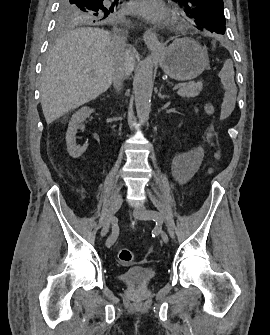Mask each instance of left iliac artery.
<instances>
[{
	"instance_id": "44dca946",
	"label": "left iliac artery",
	"mask_w": 270,
	"mask_h": 335,
	"mask_svg": "<svg viewBox=\"0 0 270 335\" xmlns=\"http://www.w3.org/2000/svg\"><path fill=\"white\" fill-rule=\"evenodd\" d=\"M147 214H148V216H150L154 221H156V223H157V222H158V223H162V222L165 221L164 216H163L161 213L157 212V211H154V210H148V211H147ZM165 223H166L167 230H168V233H169L170 237H171L172 239H174V238H175V234H174V224L171 223V222H165Z\"/></svg>"
}]
</instances>
